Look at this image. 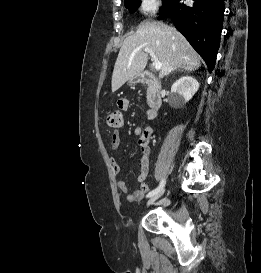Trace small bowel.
<instances>
[{
  "instance_id": "small-bowel-1",
  "label": "small bowel",
  "mask_w": 261,
  "mask_h": 273,
  "mask_svg": "<svg viewBox=\"0 0 261 273\" xmlns=\"http://www.w3.org/2000/svg\"><path fill=\"white\" fill-rule=\"evenodd\" d=\"M118 109L121 111H126L129 107V100L121 99L117 103ZM155 117V113L149 111L148 118L153 119ZM153 130L150 127L147 128H137L135 129V135L137 136L138 145L141 150V157L139 161V173L137 176V180L140 182V187L134 193H129V189L125 181L118 180L117 187L121 192L126 194L127 200L129 202H138L140 201L145 194L149 191L150 186L145 183L148 174H149V167H150V147L149 141L152 136ZM111 147L113 150H117L120 147L121 143V135L119 130H116L111 136ZM111 166L113 173L118 175L121 172V165L117 161L115 157L111 158Z\"/></svg>"
}]
</instances>
